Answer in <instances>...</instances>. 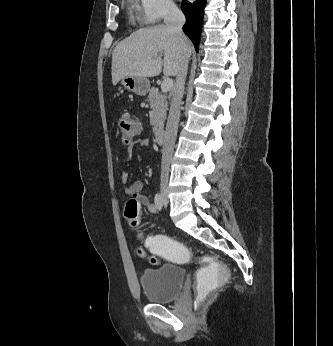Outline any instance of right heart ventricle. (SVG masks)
Masks as SVG:
<instances>
[{"label": "right heart ventricle", "mask_w": 333, "mask_h": 346, "mask_svg": "<svg viewBox=\"0 0 333 346\" xmlns=\"http://www.w3.org/2000/svg\"><path fill=\"white\" fill-rule=\"evenodd\" d=\"M137 0H129V3H130V7L131 9L134 8L135 4H136Z\"/></svg>", "instance_id": "e07e8e85"}]
</instances>
